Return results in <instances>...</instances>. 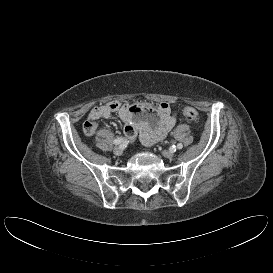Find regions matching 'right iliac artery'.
Returning a JSON list of instances; mask_svg holds the SVG:
<instances>
[{
	"label": "right iliac artery",
	"mask_w": 273,
	"mask_h": 273,
	"mask_svg": "<svg viewBox=\"0 0 273 273\" xmlns=\"http://www.w3.org/2000/svg\"><path fill=\"white\" fill-rule=\"evenodd\" d=\"M113 143H114L115 145H118V144H121V143L127 144L128 141H127V139H124V138H122V137H118V138H116V139L113 141Z\"/></svg>",
	"instance_id": "1"
}]
</instances>
